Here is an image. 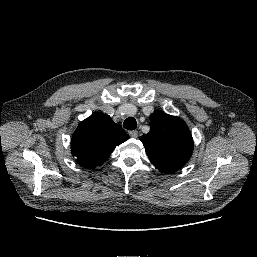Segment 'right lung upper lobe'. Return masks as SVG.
Segmentation results:
<instances>
[{
  "label": "right lung upper lobe",
  "mask_w": 257,
  "mask_h": 257,
  "mask_svg": "<svg viewBox=\"0 0 257 257\" xmlns=\"http://www.w3.org/2000/svg\"><path fill=\"white\" fill-rule=\"evenodd\" d=\"M128 138L109 115L93 113L76 129L71 142V153L81 166L94 168L102 165L115 147Z\"/></svg>",
  "instance_id": "1"
}]
</instances>
